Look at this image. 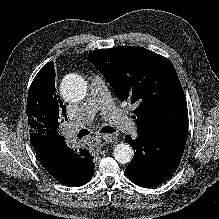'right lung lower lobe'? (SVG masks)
<instances>
[{
  "instance_id": "98d812e1",
  "label": "right lung lower lobe",
  "mask_w": 219,
  "mask_h": 219,
  "mask_svg": "<svg viewBox=\"0 0 219 219\" xmlns=\"http://www.w3.org/2000/svg\"><path fill=\"white\" fill-rule=\"evenodd\" d=\"M32 146L46 170L63 184L81 186L94 174V163L88 151L70 149L65 138L42 137Z\"/></svg>"
}]
</instances>
